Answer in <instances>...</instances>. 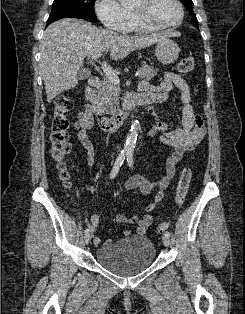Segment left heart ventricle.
<instances>
[{
  "mask_svg": "<svg viewBox=\"0 0 245 314\" xmlns=\"http://www.w3.org/2000/svg\"><path fill=\"white\" fill-rule=\"evenodd\" d=\"M131 6L158 23H174L180 18V10L175 0H134Z\"/></svg>",
  "mask_w": 245,
  "mask_h": 314,
  "instance_id": "left-heart-ventricle-1",
  "label": "left heart ventricle"
}]
</instances>
